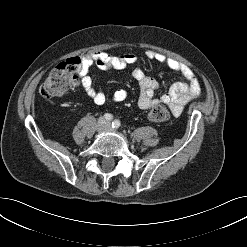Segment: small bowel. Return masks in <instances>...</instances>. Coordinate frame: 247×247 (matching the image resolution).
Wrapping results in <instances>:
<instances>
[{"label": "small bowel", "mask_w": 247, "mask_h": 247, "mask_svg": "<svg viewBox=\"0 0 247 247\" xmlns=\"http://www.w3.org/2000/svg\"><path fill=\"white\" fill-rule=\"evenodd\" d=\"M145 55L147 59L161 63L169 69L179 72L185 81L174 83L159 98H156L155 93L160 87L159 82L147 76L141 68L135 67L131 74L139 86L138 104L140 108L149 110L155 105L162 103L169 107L174 116H179L184 106L200 94L201 87L199 81L188 66L174 58L154 50H148ZM137 60V56L132 53L113 56L103 51H94L83 55L80 58L77 74L84 92L95 104H105L107 96L94 88L92 79L89 76L90 67L97 65L102 70H120L135 64ZM127 97L128 92L122 88L117 89L113 93V100L115 102H123Z\"/></svg>", "instance_id": "c3829d8e"}]
</instances>
